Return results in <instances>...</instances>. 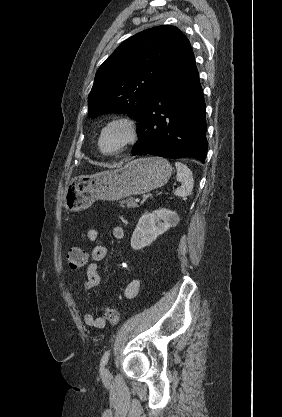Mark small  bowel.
Instances as JSON below:
<instances>
[{
  "instance_id": "small-bowel-1",
  "label": "small bowel",
  "mask_w": 282,
  "mask_h": 417,
  "mask_svg": "<svg viewBox=\"0 0 282 417\" xmlns=\"http://www.w3.org/2000/svg\"><path fill=\"white\" fill-rule=\"evenodd\" d=\"M112 236L116 240H123L125 238V231L121 226H115L112 229ZM87 238L92 243L91 259L86 268L85 280L83 283V291L88 292L91 289L100 288L106 281V276L100 272L101 262L107 255L106 246L100 242L98 231L91 228L87 232ZM141 282L139 279L131 280L124 289L123 295L126 299L135 298L140 290ZM85 324L91 328H104L106 322L103 321L102 316H96L92 313H87L84 316Z\"/></svg>"
}]
</instances>
